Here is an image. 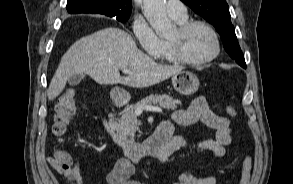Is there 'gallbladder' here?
Masks as SVG:
<instances>
[{
	"instance_id": "obj_1",
	"label": "gallbladder",
	"mask_w": 293,
	"mask_h": 184,
	"mask_svg": "<svg viewBox=\"0 0 293 184\" xmlns=\"http://www.w3.org/2000/svg\"><path fill=\"white\" fill-rule=\"evenodd\" d=\"M85 75L83 74H75L69 79V84L72 86H75L81 82L82 79H84Z\"/></svg>"
}]
</instances>
